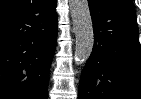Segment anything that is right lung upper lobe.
Wrapping results in <instances>:
<instances>
[{
    "label": "right lung upper lobe",
    "instance_id": "cb5924a9",
    "mask_svg": "<svg viewBox=\"0 0 141 99\" xmlns=\"http://www.w3.org/2000/svg\"><path fill=\"white\" fill-rule=\"evenodd\" d=\"M23 1L24 0H0V13L22 3Z\"/></svg>",
    "mask_w": 141,
    "mask_h": 99
}]
</instances>
